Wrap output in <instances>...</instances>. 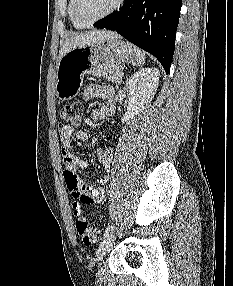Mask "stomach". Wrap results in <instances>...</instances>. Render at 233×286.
<instances>
[{
	"label": "stomach",
	"instance_id": "stomach-1",
	"mask_svg": "<svg viewBox=\"0 0 233 286\" xmlns=\"http://www.w3.org/2000/svg\"><path fill=\"white\" fill-rule=\"evenodd\" d=\"M135 48L120 38L104 39L94 44L76 47L63 55L56 68V94L69 100L80 91L84 75L104 66L134 63Z\"/></svg>",
	"mask_w": 233,
	"mask_h": 286
}]
</instances>
